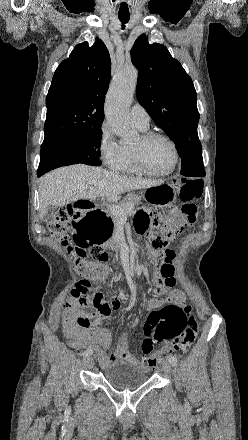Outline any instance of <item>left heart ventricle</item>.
<instances>
[{"instance_id":"b2bd125f","label":"left heart ventricle","mask_w":248,"mask_h":440,"mask_svg":"<svg viewBox=\"0 0 248 440\" xmlns=\"http://www.w3.org/2000/svg\"><path fill=\"white\" fill-rule=\"evenodd\" d=\"M138 139L135 144L138 142ZM144 159L151 171L165 172L171 168L174 161L172 147L162 138L153 139L145 147Z\"/></svg>"}]
</instances>
